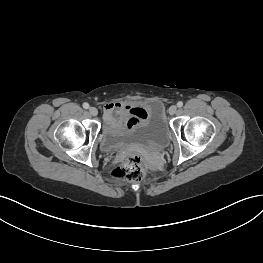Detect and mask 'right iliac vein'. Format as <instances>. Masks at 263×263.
I'll use <instances>...</instances> for the list:
<instances>
[{
  "mask_svg": "<svg viewBox=\"0 0 263 263\" xmlns=\"http://www.w3.org/2000/svg\"><path fill=\"white\" fill-rule=\"evenodd\" d=\"M89 113L92 115V116H96L98 114V110L97 108L95 107H90L89 108Z\"/></svg>",
  "mask_w": 263,
  "mask_h": 263,
  "instance_id": "1",
  "label": "right iliac vein"
}]
</instances>
